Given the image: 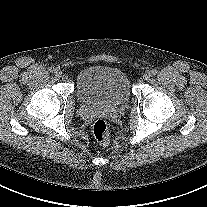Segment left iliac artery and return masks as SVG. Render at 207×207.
<instances>
[{"label": "left iliac artery", "instance_id": "obj_1", "mask_svg": "<svg viewBox=\"0 0 207 207\" xmlns=\"http://www.w3.org/2000/svg\"><path fill=\"white\" fill-rule=\"evenodd\" d=\"M158 73V71L156 70V69H153L152 71H151V74L152 75H156Z\"/></svg>", "mask_w": 207, "mask_h": 207}]
</instances>
